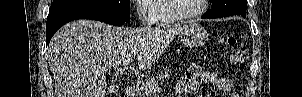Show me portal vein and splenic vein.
Segmentation results:
<instances>
[{
    "label": "portal vein and splenic vein",
    "instance_id": "1",
    "mask_svg": "<svg viewBox=\"0 0 302 97\" xmlns=\"http://www.w3.org/2000/svg\"><path fill=\"white\" fill-rule=\"evenodd\" d=\"M133 59L132 58H128L126 60L123 61V66L126 68L130 63H132ZM159 92V89L157 90Z\"/></svg>",
    "mask_w": 302,
    "mask_h": 97
}]
</instances>
